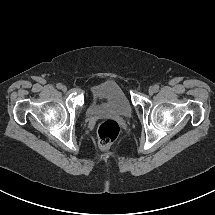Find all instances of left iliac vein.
I'll return each mask as SVG.
<instances>
[{"mask_svg":"<svg viewBox=\"0 0 215 215\" xmlns=\"http://www.w3.org/2000/svg\"><path fill=\"white\" fill-rule=\"evenodd\" d=\"M148 92L150 95L154 94L156 92L155 88L153 86L149 87Z\"/></svg>","mask_w":215,"mask_h":215,"instance_id":"left-iliac-vein-1","label":"left iliac vein"}]
</instances>
